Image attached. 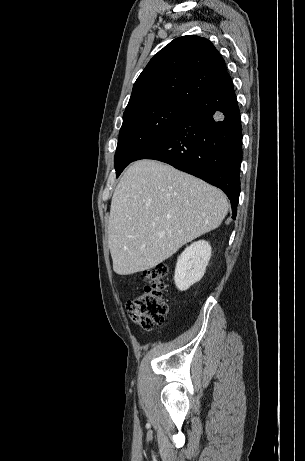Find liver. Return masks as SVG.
Masks as SVG:
<instances>
[{
	"mask_svg": "<svg viewBox=\"0 0 305 461\" xmlns=\"http://www.w3.org/2000/svg\"><path fill=\"white\" fill-rule=\"evenodd\" d=\"M229 204L218 188L154 160L134 162L110 208L113 270L130 275L155 267L184 244L220 226Z\"/></svg>",
	"mask_w": 305,
	"mask_h": 461,
	"instance_id": "6515ba94",
	"label": "liver"
}]
</instances>
